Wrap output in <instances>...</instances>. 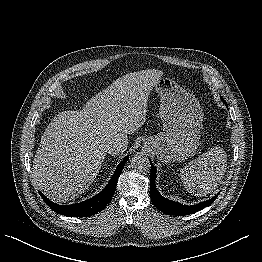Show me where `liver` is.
Instances as JSON below:
<instances>
[{
  "label": "liver",
  "instance_id": "1",
  "mask_svg": "<svg viewBox=\"0 0 262 262\" xmlns=\"http://www.w3.org/2000/svg\"><path fill=\"white\" fill-rule=\"evenodd\" d=\"M163 72L128 73L99 92L81 111H63L52 119L36 151L32 182L52 201L66 202L84 193L97 177L114 141H127L146 120L150 91Z\"/></svg>",
  "mask_w": 262,
  "mask_h": 262
}]
</instances>
